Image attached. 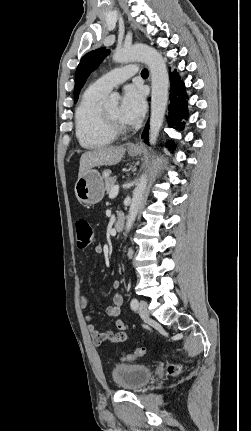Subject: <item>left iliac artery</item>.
I'll use <instances>...</instances> for the list:
<instances>
[{"label": "left iliac artery", "mask_w": 251, "mask_h": 431, "mask_svg": "<svg viewBox=\"0 0 251 431\" xmlns=\"http://www.w3.org/2000/svg\"><path fill=\"white\" fill-rule=\"evenodd\" d=\"M130 306L132 310H136L138 308V300L133 298L130 302Z\"/></svg>", "instance_id": "44dca946"}]
</instances>
